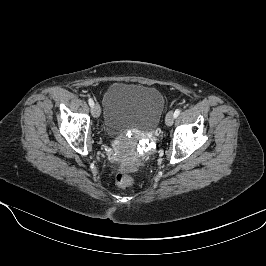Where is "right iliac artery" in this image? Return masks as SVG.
<instances>
[{
	"label": "right iliac artery",
	"mask_w": 266,
	"mask_h": 266,
	"mask_svg": "<svg viewBox=\"0 0 266 266\" xmlns=\"http://www.w3.org/2000/svg\"><path fill=\"white\" fill-rule=\"evenodd\" d=\"M88 103H89V105H90L91 107H93V105H94V101H93L91 98L88 100Z\"/></svg>",
	"instance_id": "82829eb1"
}]
</instances>
